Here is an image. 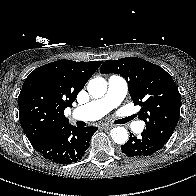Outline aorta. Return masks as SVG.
Listing matches in <instances>:
<instances>
[{
  "label": "aorta",
  "instance_id": "aorta-1",
  "mask_svg": "<svg viewBox=\"0 0 196 196\" xmlns=\"http://www.w3.org/2000/svg\"><path fill=\"white\" fill-rule=\"evenodd\" d=\"M87 90L94 98H101L107 91V83L104 78L97 77L91 79L88 83ZM113 141L117 144H124L128 140V132L124 127H115L110 131Z\"/></svg>",
  "mask_w": 196,
  "mask_h": 196
}]
</instances>
